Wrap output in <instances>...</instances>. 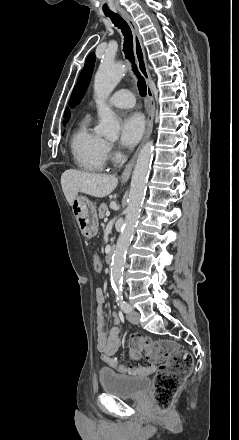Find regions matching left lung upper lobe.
Segmentation results:
<instances>
[{
  "mask_svg": "<svg viewBox=\"0 0 239 440\" xmlns=\"http://www.w3.org/2000/svg\"><path fill=\"white\" fill-rule=\"evenodd\" d=\"M94 63H95V54L92 52L88 55L85 61L84 68L78 77L77 84L73 90L70 99V106L72 107L75 106L83 97V94L89 84L90 77L93 72Z\"/></svg>",
  "mask_w": 239,
  "mask_h": 440,
  "instance_id": "5c2ea615",
  "label": "left lung upper lobe"
}]
</instances>
